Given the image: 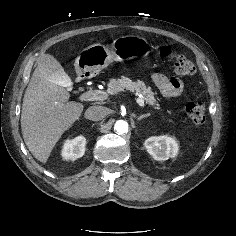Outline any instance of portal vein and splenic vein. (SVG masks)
Here are the masks:
<instances>
[{
	"label": "portal vein and splenic vein",
	"mask_w": 236,
	"mask_h": 236,
	"mask_svg": "<svg viewBox=\"0 0 236 236\" xmlns=\"http://www.w3.org/2000/svg\"><path fill=\"white\" fill-rule=\"evenodd\" d=\"M108 98V95L104 91L100 90H90L83 94H81L80 99L82 101H102L106 100ZM136 102L141 106L144 107V100L141 98V96L136 98Z\"/></svg>",
	"instance_id": "obj_1"
}]
</instances>
